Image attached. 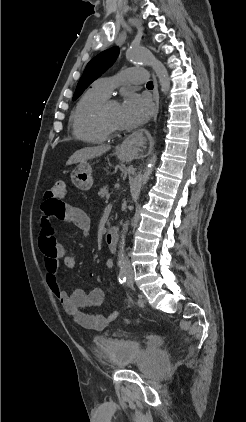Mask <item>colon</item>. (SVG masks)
<instances>
[{
    "instance_id": "1",
    "label": "colon",
    "mask_w": 246,
    "mask_h": 422,
    "mask_svg": "<svg viewBox=\"0 0 246 422\" xmlns=\"http://www.w3.org/2000/svg\"><path fill=\"white\" fill-rule=\"evenodd\" d=\"M66 193V185L63 181L58 180L52 183L45 192V203L48 208L52 211L59 208L63 204Z\"/></svg>"
}]
</instances>
